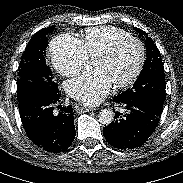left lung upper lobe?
Instances as JSON below:
<instances>
[{
	"mask_svg": "<svg viewBox=\"0 0 183 183\" xmlns=\"http://www.w3.org/2000/svg\"><path fill=\"white\" fill-rule=\"evenodd\" d=\"M137 30L147 37V58L133 87L116 97L140 101L162 112L165 100V76L161 55L153 40L143 30L138 28Z\"/></svg>",
	"mask_w": 183,
	"mask_h": 183,
	"instance_id": "1",
	"label": "left lung upper lobe"
}]
</instances>
